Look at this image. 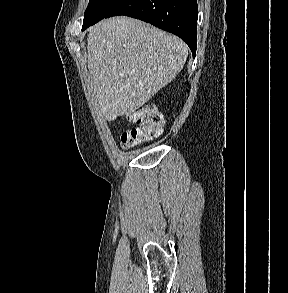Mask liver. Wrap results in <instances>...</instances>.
I'll return each mask as SVG.
<instances>
[{
	"instance_id": "obj_1",
	"label": "liver",
	"mask_w": 288,
	"mask_h": 293,
	"mask_svg": "<svg viewBox=\"0 0 288 293\" xmlns=\"http://www.w3.org/2000/svg\"><path fill=\"white\" fill-rule=\"evenodd\" d=\"M87 64L106 120L131 114L182 70L188 47L178 37L129 17L90 27Z\"/></svg>"
}]
</instances>
